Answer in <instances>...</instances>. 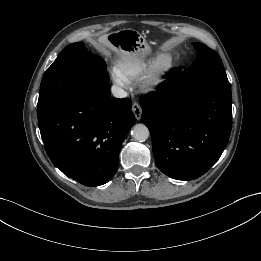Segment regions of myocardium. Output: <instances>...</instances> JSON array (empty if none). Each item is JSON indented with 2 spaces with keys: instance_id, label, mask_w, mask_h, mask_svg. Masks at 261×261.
Wrapping results in <instances>:
<instances>
[{
  "instance_id": "obj_1",
  "label": "myocardium",
  "mask_w": 261,
  "mask_h": 261,
  "mask_svg": "<svg viewBox=\"0 0 261 261\" xmlns=\"http://www.w3.org/2000/svg\"><path fill=\"white\" fill-rule=\"evenodd\" d=\"M173 67V58L167 52L159 53L150 63L141 79V88L145 92L156 91L166 80Z\"/></svg>"
}]
</instances>
